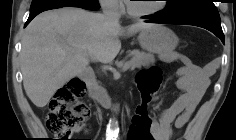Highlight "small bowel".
<instances>
[{"label": "small bowel", "mask_w": 236, "mask_h": 140, "mask_svg": "<svg viewBox=\"0 0 236 140\" xmlns=\"http://www.w3.org/2000/svg\"><path fill=\"white\" fill-rule=\"evenodd\" d=\"M183 63L178 70L177 87L182 92L173 104L162 111L157 120H152L153 140H172L175 129L179 132L187 125L210 86L214 73L212 65L200 67L185 55H177ZM88 129L85 133H88Z\"/></svg>", "instance_id": "c3829d8e"}]
</instances>
